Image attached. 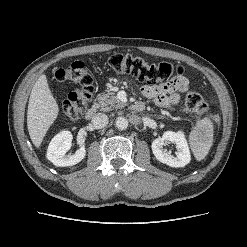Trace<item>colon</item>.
I'll return each instance as SVG.
<instances>
[{"label": "colon", "mask_w": 247, "mask_h": 247, "mask_svg": "<svg viewBox=\"0 0 247 247\" xmlns=\"http://www.w3.org/2000/svg\"><path fill=\"white\" fill-rule=\"evenodd\" d=\"M105 64L116 74H131L139 80L157 83L168 80L173 75H181L184 68L167 62L149 63L142 57L118 54L109 57ZM59 82L79 85V88L68 94L62 102L61 109L70 118L81 115L92 98L94 92L93 78L89 68L81 61H76L62 67L55 72ZM187 108L198 115L208 113V105L201 94L190 91L186 94ZM209 117L214 124L220 118L217 114L210 113Z\"/></svg>", "instance_id": "obj_1"}]
</instances>
